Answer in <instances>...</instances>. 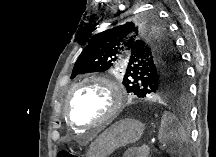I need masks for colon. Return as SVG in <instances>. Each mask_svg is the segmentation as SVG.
Masks as SVG:
<instances>
[{"mask_svg": "<svg viewBox=\"0 0 216 157\" xmlns=\"http://www.w3.org/2000/svg\"><path fill=\"white\" fill-rule=\"evenodd\" d=\"M58 157H75V155L70 150H62V151H60Z\"/></svg>", "mask_w": 216, "mask_h": 157, "instance_id": "colon-1", "label": "colon"}]
</instances>
